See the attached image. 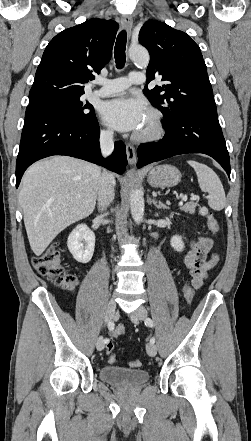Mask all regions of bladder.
Masks as SVG:
<instances>
[{
    "label": "bladder",
    "instance_id": "31cf9c89",
    "mask_svg": "<svg viewBox=\"0 0 251 441\" xmlns=\"http://www.w3.org/2000/svg\"><path fill=\"white\" fill-rule=\"evenodd\" d=\"M102 381L116 387L135 388L146 384L150 379L148 371L119 366H103L99 370Z\"/></svg>",
    "mask_w": 251,
    "mask_h": 441
}]
</instances>
